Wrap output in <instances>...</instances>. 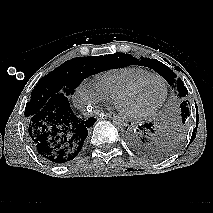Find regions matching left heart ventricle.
I'll list each match as a JSON object with an SVG mask.
<instances>
[{
    "label": "left heart ventricle",
    "instance_id": "left-heart-ventricle-1",
    "mask_svg": "<svg viewBox=\"0 0 213 213\" xmlns=\"http://www.w3.org/2000/svg\"><path fill=\"white\" fill-rule=\"evenodd\" d=\"M163 96V85L159 79L149 78L135 91L126 96L122 107L129 112H141L156 105Z\"/></svg>",
    "mask_w": 213,
    "mask_h": 213
}]
</instances>
